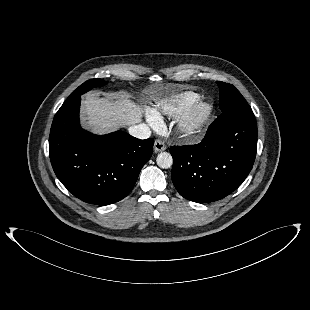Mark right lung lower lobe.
<instances>
[{"mask_svg": "<svg viewBox=\"0 0 310 310\" xmlns=\"http://www.w3.org/2000/svg\"><path fill=\"white\" fill-rule=\"evenodd\" d=\"M81 97L66 100L56 113L49 136V155L58 179L84 202L109 205L133 189L150 159L154 139L125 132L94 135L80 127Z\"/></svg>", "mask_w": 310, "mask_h": 310, "instance_id": "98d812e1", "label": "right lung lower lobe"}]
</instances>
